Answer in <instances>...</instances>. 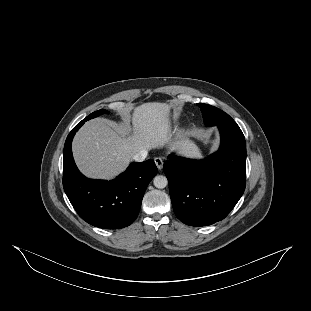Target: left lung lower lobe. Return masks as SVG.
<instances>
[{"instance_id": "1", "label": "left lung lower lobe", "mask_w": 311, "mask_h": 311, "mask_svg": "<svg viewBox=\"0 0 311 311\" xmlns=\"http://www.w3.org/2000/svg\"><path fill=\"white\" fill-rule=\"evenodd\" d=\"M217 127L221 144L216 153L200 161L170 155L163 166L174 213L190 226L224 219L245 190V137L236 123Z\"/></svg>"}]
</instances>
